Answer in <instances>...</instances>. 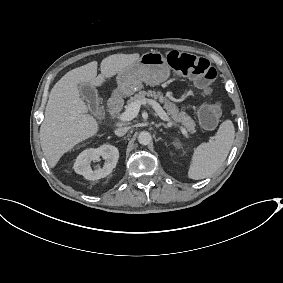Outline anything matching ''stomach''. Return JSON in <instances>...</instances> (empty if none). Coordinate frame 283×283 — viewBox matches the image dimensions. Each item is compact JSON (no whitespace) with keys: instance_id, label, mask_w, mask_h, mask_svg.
Wrapping results in <instances>:
<instances>
[{"instance_id":"1","label":"stomach","mask_w":283,"mask_h":283,"mask_svg":"<svg viewBox=\"0 0 283 283\" xmlns=\"http://www.w3.org/2000/svg\"><path fill=\"white\" fill-rule=\"evenodd\" d=\"M170 75L171 68L161 52L144 53L135 64L118 74L117 93L132 95L142 88V82L158 85L166 82Z\"/></svg>"}]
</instances>
